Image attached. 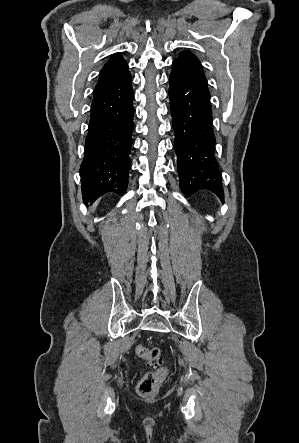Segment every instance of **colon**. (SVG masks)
<instances>
[{"mask_svg":"<svg viewBox=\"0 0 299 443\" xmlns=\"http://www.w3.org/2000/svg\"><path fill=\"white\" fill-rule=\"evenodd\" d=\"M136 354L150 366L161 365L157 370L144 374L137 386V392L140 396H153L167 376V369L162 366L164 360L161 356V350L159 348L147 349L139 345L136 347Z\"/></svg>","mask_w":299,"mask_h":443,"instance_id":"obj_1","label":"colon"}]
</instances>
